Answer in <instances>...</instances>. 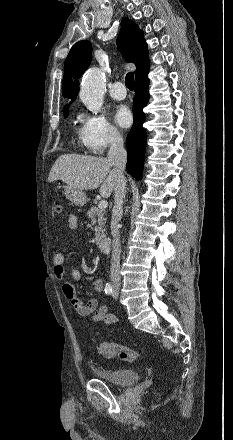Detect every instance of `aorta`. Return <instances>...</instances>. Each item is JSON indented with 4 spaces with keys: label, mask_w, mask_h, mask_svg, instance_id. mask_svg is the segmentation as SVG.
Instances as JSON below:
<instances>
[{
    "label": "aorta",
    "mask_w": 233,
    "mask_h": 440,
    "mask_svg": "<svg viewBox=\"0 0 233 440\" xmlns=\"http://www.w3.org/2000/svg\"><path fill=\"white\" fill-rule=\"evenodd\" d=\"M106 89L104 75L101 70H88L82 78L80 99L92 112L97 113L102 105Z\"/></svg>",
    "instance_id": "aorta-1"
}]
</instances>
